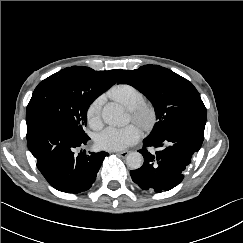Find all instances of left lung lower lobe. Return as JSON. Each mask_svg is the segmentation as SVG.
Returning a JSON list of instances; mask_svg holds the SVG:
<instances>
[{
	"mask_svg": "<svg viewBox=\"0 0 243 243\" xmlns=\"http://www.w3.org/2000/svg\"><path fill=\"white\" fill-rule=\"evenodd\" d=\"M206 117V110L186 114L173 122L159 139L145 138L143 148L139 150L144 163L139 169L130 171L132 180L143 190L156 193L177 186L201 148ZM147 147L161 150L150 153Z\"/></svg>",
	"mask_w": 243,
	"mask_h": 243,
	"instance_id": "left-lung-lower-lobe-1",
	"label": "left lung lower lobe"
}]
</instances>
